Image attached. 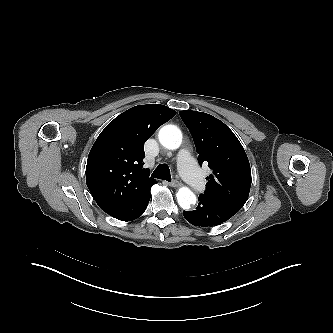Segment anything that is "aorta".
<instances>
[{"mask_svg": "<svg viewBox=\"0 0 333 333\" xmlns=\"http://www.w3.org/2000/svg\"><path fill=\"white\" fill-rule=\"evenodd\" d=\"M159 142L169 150H176L182 143L181 130L175 125H165L158 134ZM177 201L184 210L190 209L196 203L195 194L187 187H181L177 194Z\"/></svg>", "mask_w": 333, "mask_h": 333, "instance_id": "obj_1", "label": "aorta"}]
</instances>
